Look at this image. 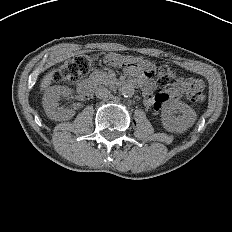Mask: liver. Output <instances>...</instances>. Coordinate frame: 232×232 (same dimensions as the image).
<instances>
[{"label": "liver", "instance_id": "obj_1", "mask_svg": "<svg viewBox=\"0 0 232 232\" xmlns=\"http://www.w3.org/2000/svg\"><path fill=\"white\" fill-rule=\"evenodd\" d=\"M53 73L54 71L44 76L40 84V90H46L47 87L51 84V81L53 80Z\"/></svg>", "mask_w": 232, "mask_h": 232}]
</instances>
